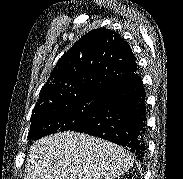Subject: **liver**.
Listing matches in <instances>:
<instances>
[{
  "mask_svg": "<svg viewBox=\"0 0 183 179\" xmlns=\"http://www.w3.org/2000/svg\"><path fill=\"white\" fill-rule=\"evenodd\" d=\"M133 163L132 156L112 142L60 132L31 146L24 179H115Z\"/></svg>",
  "mask_w": 183,
  "mask_h": 179,
  "instance_id": "obj_1",
  "label": "liver"
}]
</instances>
